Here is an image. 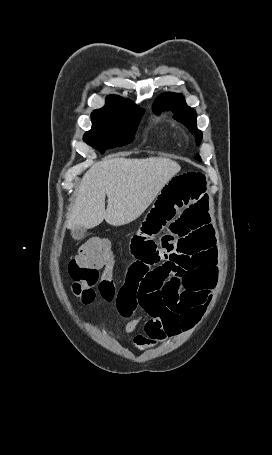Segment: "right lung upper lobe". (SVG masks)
I'll list each match as a JSON object with an SVG mask.
<instances>
[{
    "label": "right lung upper lobe",
    "mask_w": 272,
    "mask_h": 455,
    "mask_svg": "<svg viewBox=\"0 0 272 455\" xmlns=\"http://www.w3.org/2000/svg\"><path fill=\"white\" fill-rule=\"evenodd\" d=\"M131 104L134 103L120 96L110 95L106 98V105L101 109L95 110V112H115L124 109Z\"/></svg>",
    "instance_id": "obj_1"
}]
</instances>
